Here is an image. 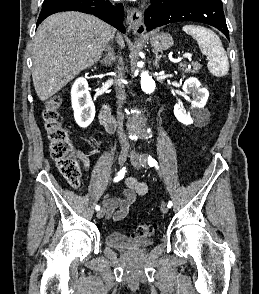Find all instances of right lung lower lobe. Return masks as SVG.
I'll list each match as a JSON object with an SVG mask.
<instances>
[{
    "label": "right lung lower lobe",
    "instance_id": "right-lung-lower-lobe-1",
    "mask_svg": "<svg viewBox=\"0 0 259 294\" xmlns=\"http://www.w3.org/2000/svg\"><path fill=\"white\" fill-rule=\"evenodd\" d=\"M61 11L93 14L125 33V27L122 24L124 18L122 4L110 3L108 0H51L42 5L37 25L49 15Z\"/></svg>",
    "mask_w": 259,
    "mask_h": 294
}]
</instances>
